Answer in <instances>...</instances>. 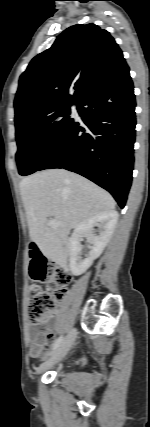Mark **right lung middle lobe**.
Listing matches in <instances>:
<instances>
[{
	"label": "right lung middle lobe",
	"mask_w": 150,
	"mask_h": 427,
	"mask_svg": "<svg viewBox=\"0 0 150 427\" xmlns=\"http://www.w3.org/2000/svg\"><path fill=\"white\" fill-rule=\"evenodd\" d=\"M72 121L69 104L38 109L15 121L20 175L37 170Z\"/></svg>",
	"instance_id": "1"
}]
</instances>
